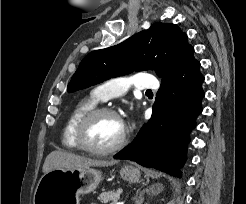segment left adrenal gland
<instances>
[{
  "instance_id": "a2214340",
  "label": "left adrenal gland",
  "mask_w": 246,
  "mask_h": 204,
  "mask_svg": "<svg viewBox=\"0 0 246 204\" xmlns=\"http://www.w3.org/2000/svg\"><path fill=\"white\" fill-rule=\"evenodd\" d=\"M142 195H143V192L140 193L139 200L136 201V204H141V203L143 202V197H142Z\"/></svg>"
}]
</instances>
